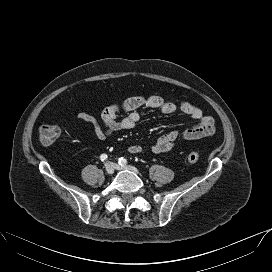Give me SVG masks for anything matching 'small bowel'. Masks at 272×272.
Segmentation results:
<instances>
[{
	"label": "small bowel",
	"instance_id": "obj_1",
	"mask_svg": "<svg viewBox=\"0 0 272 272\" xmlns=\"http://www.w3.org/2000/svg\"><path fill=\"white\" fill-rule=\"evenodd\" d=\"M142 108L158 109L164 114H173L180 111L197 123L187 129L173 130L161 135L148 146L130 145L128 151L133 154L142 153L147 150L153 153L168 152L179 141L198 140L210 136L215 132L213 118L205 115L200 108L186 101L176 104L160 96H134L121 104L110 105L102 111L100 120L87 112H78L76 117L92 125L95 135L99 140H106L115 132L133 129L141 118L140 110ZM122 114L125 117L119 120L118 116Z\"/></svg>",
	"mask_w": 272,
	"mask_h": 272
}]
</instances>
